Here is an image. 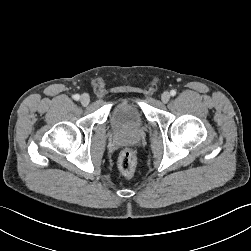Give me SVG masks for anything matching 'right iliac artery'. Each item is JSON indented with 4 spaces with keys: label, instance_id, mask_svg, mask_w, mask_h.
<instances>
[{
    "label": "right iliac artery",
    "instance_id": "right-iliac-artery-1",
    "mask_svg": "<svg viewBox=\"0 0 251 251\" xmlns=\"http://www.w3.org/2000/svg\"><path fill=\"white\" fill-rule=\"evenodd\" d=\"M73 98H74L75 100H79V99H80V95H79V94H75V95L73 96Z\"/></svg>",
    "mask_w": 251,
    "mask_h": 251
}]
</instances>
